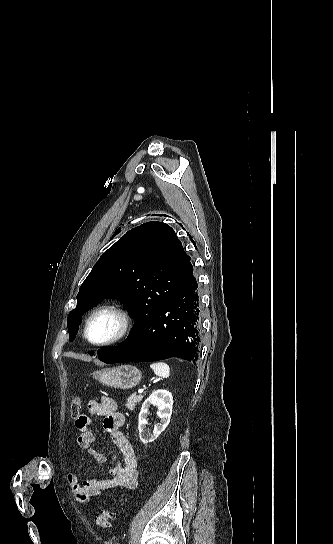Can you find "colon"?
Wrapping results in <instances>:
<instances>
[{
    "label": "colon",
    "mask_w": 333,
    "mask_h": 544,
    "mask_svg": "<svg viewBox=\"0 0 333 544\" xmlns=\"http://www.w3.org/2000/svg\"><path fill=\"white\" fill-rule=\"evenodd\" d=\"M82 408V399L80 396H77L73 399L70 405V418L74 421L78 420L80 417V411ZM115 514L110 507H104L101 511L96 513L95 521L96 524L102 530H109L111 521L113 520Z\"/></svg>",
    "instance_id": "5ec220e1"
}]
</instances>
